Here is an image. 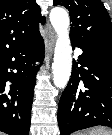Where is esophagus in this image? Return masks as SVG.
Here are the masks:
<instances>
[{
    "label": "esophagus",
    "mask_w": 112,
    "mask_h": 135,
    "mask_svg": "<svg viewBox=\"0 0 112 135\" xmlns=\"http://www.w3.org/2000/svg\"><path fill=\"white\" fill-rule=\"evenodd\" d=\"M47 39H48V50L52 51L53 46H54V42L56 39L54 32L50 31L47 35Z\"/></svg>",
    "instance_id": "obj_1"
}]
</instances>
